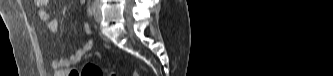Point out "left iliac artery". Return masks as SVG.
<instances>
[{
	"label": "left iliac artery",
	"instance_id": "left-iliac-artery-1",
	"mask_svg": "<svg viewBox=\"0 0 333 76\" xmlns=\"http://www.w3.org/2000/svg\"><path fill=\"white\" fill-rule=\"evenodd\" d=\"M97 5H98V1H94V3L92 4V6L90 8V11H89L90 15H92L95 12Z\"/></svg>",
	"mask_w": 333,
	"mask_h": 76
}]
</instances>
